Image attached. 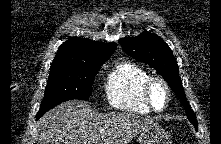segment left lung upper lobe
<instances>
[{"mask_svg":"<svg viewBox=\"0 0 221 144\" xmlns=\"http://www.w3.org/2000/svg\"><path fill=\"white\" fill-rule=\"evenodd\" d=\"M119 42L128 55L148 64L162 75L185 106L188 119L197 129L196 116L185 97L177 61L163 39L154 33L143 32L136 37L120 39Z\"/></svg>","mask_w":221,"mask_h":144,"instance_id":"1","label":"left lung upper lobe"}]
</instances>
